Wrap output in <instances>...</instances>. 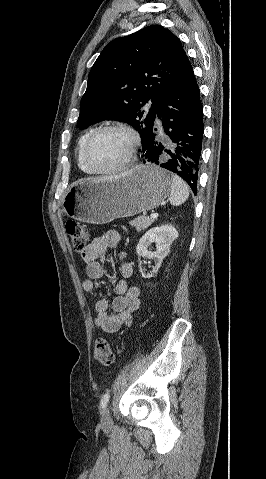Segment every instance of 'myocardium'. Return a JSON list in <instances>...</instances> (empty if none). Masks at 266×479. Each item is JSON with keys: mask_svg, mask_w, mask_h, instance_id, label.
Here are the masks:
<instances>
[{"mask_svg": "<svg viewBox=\"0 0 266 479\" xmlns=\"http://www.w3.org/2000/svg\"><path fill=\"white\" fill-rule=\"evenodd\" d=\"M107 131H120V132H123L125 134H127L130 138V147H129V150H128V153L125 157V159L120 162L118 165L112 167V168H109V169H105V170H100V169H97L95 168L90 160H89V151H90V148L94 142V140L99 136L101 135L102 133L104 132H107ZM139 137L137 135V133L130 127L126 126V125H122V124H108V125H104V126H101L99 128H97L96 130H94L91 135L88 137L85 145H84V148H83V161L86 165V167L88 168V170L93 173V174H96V175H108V174H113L115 172H118V171H121L125 168H127L133 158H134V155H135V152L139 146Z\"/></svg>", "mask_w": 266, "mask_h": 479, "instance_id": "1", "label": "myocardium"}]
</instances>
